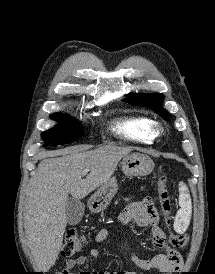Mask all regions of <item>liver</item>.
<instances>
[{
  "instance_id": "obj_1",
  "label": "liver",
  "mask_w": 215,
  "mask_h": 274,
  "mask_svg": "<svg viewBox=\"0 0 215 274\" xmlns=\"http://www.w3.org/2000/svg\"><path fill=\"white\" fill-rule=\"evenodd\" d=\"M129 148H70L43 155L29 183L24 213L27 244L38 270L47 272L58 258L67 225L68 195L83 199L107 183ZM89 170L83 179L82 172Z\"/></svg>"
}]
</instances>
